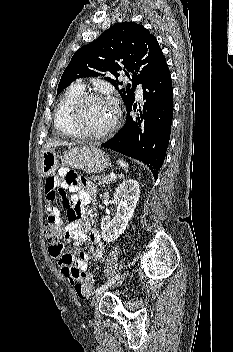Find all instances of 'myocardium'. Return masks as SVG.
<instances>
[{"mask_svg":"<svg viewBox=\"0 0 233 352\" xmlns=\"http://www.w3.org/2000/svg\"><path fill=\"white\" fill-rule=\"evenodd\" d=\"M91 100H106L105 97L98 93L86 92L79 96L76 101L73 103L70 112H69V124L73 132L77 137L86 138V139H101L109 134H111L117 127L119 122V111L113 106L114 117L111 124L104 130L99 132H89L82 129L79 123L80 111L83 105ZM107 101V100H106Z\"/></svg>","mask_w":233,"mask_h":352,"instance_id":"myocardium-1","label":"myocardium"}]
</instances>
